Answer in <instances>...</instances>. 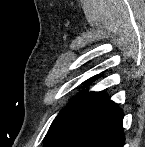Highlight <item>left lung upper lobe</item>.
<instances>
[{
  "label": "left lung upper lobe",
  "instance_id": "left-lung-upper-lobe-1",
  "mask_svg": "<svg viewBox=\"0 0 145 147\" xmlns=\"http://www.w3.org/2000/svg\"><path fill=\"white\" fill-rule=\"evenodd\" d=\"M84 96L85 93L76 96L63 110L60 111L46 134L44 145L47 143L56 142L61 137L72 120Z\"/></svg>",
  "mask_w": 145,
  "mask_h": 147
}]
</instances>
